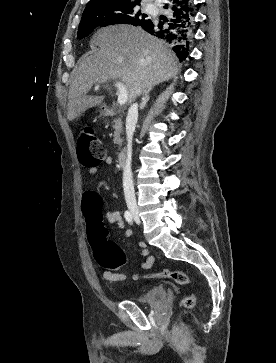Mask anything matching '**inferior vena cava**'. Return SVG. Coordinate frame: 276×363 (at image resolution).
Segmentation results:
<instances>
[{
	"label": "inferior vena cava",
	"instance_id": "inferior-vena-cava-1",
	"mask_svg": "<svg viewBox=\"0 0 276 363\" xmlns=\"http://www.w3.org/2000/svg\"><path fill=\"white\" fill-rule=\"evenodd\" d=\"M138 120V104L133 103L126 117V134H127V158L123 170V189L125 200L128 206L136 207V198L134 192V184L131 171L132 157V137Z\"/></svg>",
	"mask_w": 276,
	"mask_h": 363
}]
</instances>
